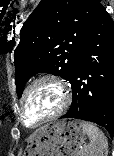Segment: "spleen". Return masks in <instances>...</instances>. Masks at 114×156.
Returning a JSON list of instances; mask_svg holds the SVG:
<instances>
[{"instance_id":"1","label":"spleen","mask_w":114,"mask_h":156,"mask_svg":"<svg viewBox=\"0 0 114 156\" xmlns=\"http://www.w3.org/2000/svg\"><path fill=\"white\" fill-rule=\"evenodd\" d=\"M80 125L89 138V144L81 149L80 156H108V141L94 124L81 121Z\"/></svg>"}]
</instances>
